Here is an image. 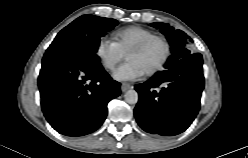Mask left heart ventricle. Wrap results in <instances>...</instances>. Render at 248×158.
Segmentation results:
<instances>
[{
    "mask_svg": "<svg viewBox=\"0 0 248 158\" xmlns=\"http://www.w3.org/2000/svg\"><path fill=\"white\" fill-rule=\"evenodd\" d=\"M162 52V44L159 41H153L144 50L130 53L127 59L137 62L147 72L159 62Z\"/></svg>",
    "mask_w": 248,
    "mask_h": 158,
    "instance_id": "obj_1",
    "label": "left heart ventricle"
}]
</instances>
